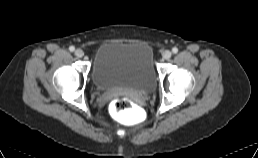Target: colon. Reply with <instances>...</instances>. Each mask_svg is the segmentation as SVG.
<instances>
[{
	"label": "colon",
	"mask_w": 258,
	"mask_h": 158,
	"mask_svg": "<svg viewBox=\"0 0 258 158\" xmlns=\"http://www.w3.org/2000/svg\"><path fill=\"white\" fill-rule=\"evenodd\" d=\"M132 108L130 100L125 96L115 97L109 104V111L114 116H123Z\"/></svg>",
	"instance_id": "5ec220e1"
}]
</instances>
